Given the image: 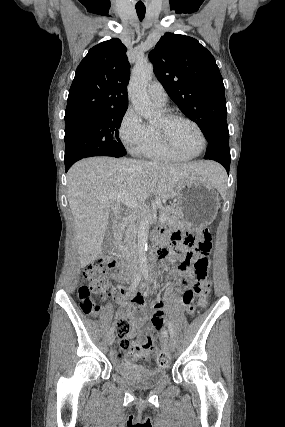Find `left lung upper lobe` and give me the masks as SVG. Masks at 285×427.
Returning a JSON list of instances; mask_svg holds the SVG:
<instances>
[{"label":"left lung upper lobe","mask_w":285,"mask_h":427,"mask_svg":"<svg viewBox=\"0 0 285 427\" xmlns=\"http://www.w3.org/2000/svg\"><path fill=\"white\" fill-rule=\"evenodd\" d=\"M170 98L205 138L228 133L225 88L212 54L196 39L165 33L149 54Z\"/></svg>","instance_id":"1"}]
</instances>
